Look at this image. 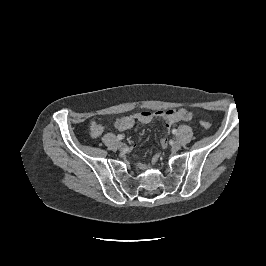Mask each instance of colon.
I'll list each match as a JSON object with an SVG mask.
<instances>
[{"instance_id":"1","label":"colon","mask_w":266,"mask_h":266,"mask_svg":"<svg viewBox=\"0 0 266 266\" xmlns=\"http://www.w3.org/2000/svg\"><path fill=\"white\" fill-rule=\"evenodd\" d=\"M200 125L204 129H209L211 126V124L208 121H204V120L200 121Z\"/></svg>"}]
</instances>
